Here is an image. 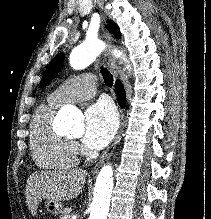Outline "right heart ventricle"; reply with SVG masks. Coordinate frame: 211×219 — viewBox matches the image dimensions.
<instances>
[{
	"instance_id": "obj_1",
	"label": "right heart ventricle",
	"mask_w": 211,
	"mask_h": 219,
	"mask_svg": "<svg viewBox=\"0 0 211 219\" xmlns=\"http://www.w3.org/2000/svg\"><path fill=\"white\" fill-rule=\"evenodd\" d=\"M60 105L48 100L35 111L30 124V146L37 166L43 169H66L77 164L73 143L55 132V111Z\"/></svg>"
}]
</instances>
